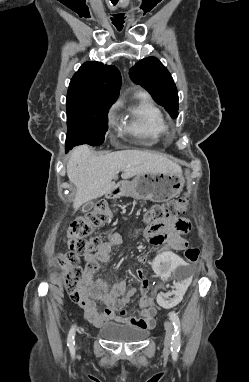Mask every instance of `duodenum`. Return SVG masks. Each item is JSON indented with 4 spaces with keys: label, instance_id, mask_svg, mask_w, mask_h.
<instances>
[{
    "label": "duodenum",
    "instance_id": "410a0bca",
    "mask_svg": "<svg viewBox=\"0 0 249 382\" xmlns=\"http://www.w3.org/2000/svg\"><path fill=\"white\" fill-rule=\"evenodd\" d=\"M114 188H116V185H114V186L108 191V193H107V197H108V198H113V197L110 196V193L113 191ZM120 189H121V188H120Z\"/></svg>",
    "mask_w": 249,
    "mask_h": 382
}]
</instances>
